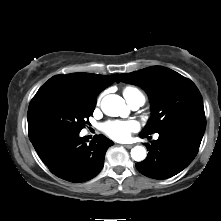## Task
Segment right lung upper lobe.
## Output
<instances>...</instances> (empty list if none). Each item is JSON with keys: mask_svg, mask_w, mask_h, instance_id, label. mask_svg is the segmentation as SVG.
Returning a JSON list of instances; mask_svg holds the SVG:
<instances>
[{"mask_svg": "<svg viewBox=\"0 0 221 221\" xmlns=\"http://www.w3.org/2000/svg\"><path fill=\"white\" fill-rule=\"evenodd\" d=\"M118 74L98 75L91 73H71L67 75H56L50 78L42 87H58L75 92L89 101H96V96L110 86Z\"/></svg>", "mask_w": 221, "mask_h": 221, "instance_id": "obj_1", "label": "right lung upper lobe"}]
</instances>
